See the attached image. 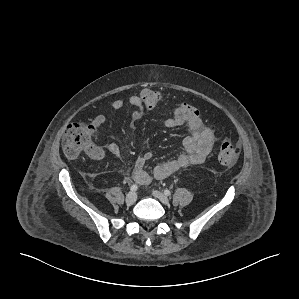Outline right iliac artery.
<instances>
[{
  "label": "right iliac artery",
  "mask_w": 299,
  "mask_h": 299,
  "mask_svg": "<svg viewBox=\"0 0 299 299\" xmlns=\"http://www.w3.org/2000/svg\"><path fill=\"white\" fill-rule=\"evenodd\" d=\"M137 189H138V186L135 185V184L132 185L131 188H130V190L133 191V192L136 191Z\"/></svg>",
  "instance_id": "82829eb1"
}]
</instances>
